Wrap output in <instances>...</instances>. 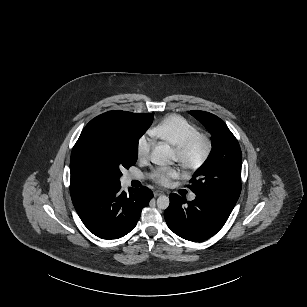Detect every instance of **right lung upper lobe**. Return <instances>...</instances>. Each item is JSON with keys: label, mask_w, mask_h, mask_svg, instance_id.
<instances>
[{"label": "right lung upper lobe", "mask_w": 307, "mask_h": 307, "mask_svg": "<svg viewBox=\"0 0 307 307\" xmlns=\"http://www.w3.org/2000/svg\"><path fill=\"white\" fill-rule=\"evenodd\" d=\"M117 112L123 113L125 116L128 117V119L132 123L140 125L143 128L148 129L153 121L152 113H130L125 111H117ZM70 171H71L70 193L72 198L96 186L87 179H85L72 163H70Z\"/></svg>", "instance_id": "right-lung-upper-lobe-1"}]
</instances>
